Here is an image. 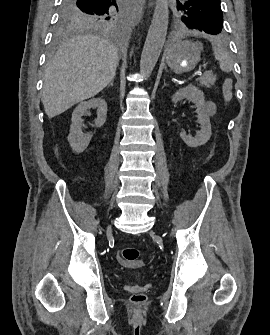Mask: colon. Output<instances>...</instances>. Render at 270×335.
<instances>
[{
	"label": "colon",
	"mask_w": 270,
	"mask_h": 335,
	"mask_svg": "<svg viewBox=\"0 0 270 335\" xmlns=\"http://www.w3.org/2000/svg\"><path fill=\"white\" fill-rule=\"evenodd\" d=\"M222 79H226V88H231V74L230 72H222L221 74ZM223 99H232L233 94L230 90H225L222 94ZM223 109H232L233 103L232 102H223L222 103ZM139 256V252L136 248H123L118 254V261L123 265H137V259ZM134 303L142 304L145 301V296L142 294H135L132 297Z\"/></svg>",
	"instance_id": "5ec220e1"
}]
</instances>
